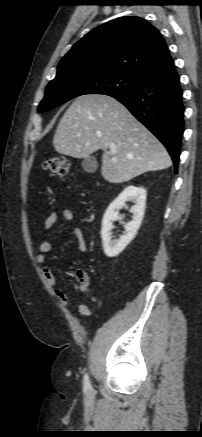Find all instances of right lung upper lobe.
I'll return each instance as SVG.
<instances>
[{
	"mask_svg": "<svg viewBox=\"0 0 202 437\" xmlns=\"http://www.w3.org/2000/svg\"><path fill=\"white\" fill-rule=\"evenodd\" d=\"M172 63L158 29L140 17L126 16L95 28L74 44L60 61L57 76L69 71L116 72L145 80Z\"/></svg>",
	"mask_w": 202,
	"mask_h": 437,
	"instance_id": "right-lung-upper-lobe-1",
	"label": "right lung upper lobe"
}]
</instances>
